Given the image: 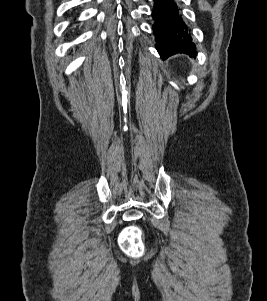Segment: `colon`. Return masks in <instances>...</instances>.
<instances>
[{"label":"colon","mask_w":267,"mask_h":301,"mask_svg":"<svg viewBox=\"0 0 267 301\" xmlns=\"http://www.w3.org/2000/svg\"><path fill=\"white\" fill-rule=\"evenodd\" d=\"M119 243L122 251L132 257L141 256L144 251L141 230L136 226L126 228L120 236Z\"/></svg>","instance_id":"5ec220e1"}]
</instances>
